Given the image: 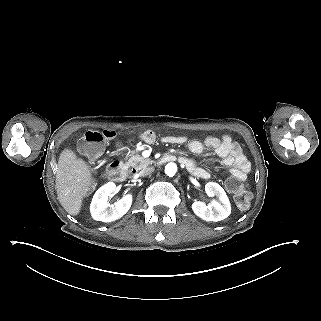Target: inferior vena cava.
<instances>
[{
	"instance_id": "inferior-vena-cava-1",
	"label": "inferior vena cava",
	"mask_w": 321,
	"mask_h": 321,
	"mask_svg": "<svg viewBox=\"0 0 321 321\" xmlns=\"http://www.w3.org/2000/svg\"><path fill=\"white\" fill-rule=\"evenodd\" d=\"M154 171V167H145L140 172V176H148Z\"/></svg>"
}]
</instances>
